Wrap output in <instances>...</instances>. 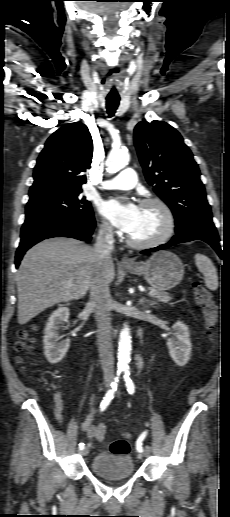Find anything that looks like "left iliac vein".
Here are the masks:
<instances>
[{
  "mask_svg": "<svg viewBox=\"0 0 230 517\" xmlns=\"http://www.w3.org/2000/svg\"><path fill=\"white\" fill-rule=\"evenodd\" d=\"M150 451H151V450H150V447H149V446H146V447H145V449H144L143 455H144V456H148V455H149V453H150Z\"/></svg>",
  "mask_w": 230,
  "mask_h": 517,
  "instance_id": "1",
  "label": "left iliac vein"
}]
</instances>
